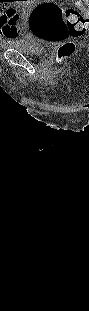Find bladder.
<instances>
[{"label":"bladder","mask_w":89,"mask_h":311,"mask_svg":"<svg viewBox=\"0 0 89 311\" xmlns=\"http://www.w3.org/2000/svg\"><path fill=\"white\" fill-rule=\"evenodd\" d=\"M10 48L31 56H39L44 51V46L31 36H24L10 44Z\"/></svg>","instance_id":"bladder-1"}]
</instances>
